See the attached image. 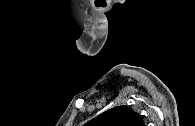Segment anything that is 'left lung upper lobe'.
<instances>
[{"instance_id":"left-lung-upper-lobe-1","label":"left lung upper lobe","mask_w":195,"mask_h":126,"mask_svg":"<svg viewBox=\"0 0 195 126\" xmlns=\"http://www.w3.org/2000/svg\"><path fill=\"white\" fill-rule=\"evenodd\" d=\"M86 126H145L137 112L128 106H118L105 111L89 121Z\"/></svg>"}]
</instances>
